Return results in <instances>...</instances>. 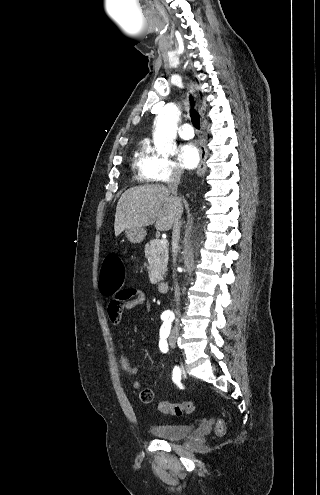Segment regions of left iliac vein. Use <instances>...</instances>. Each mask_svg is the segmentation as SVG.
I'll list each match as a JSON object with an SVG mask.
<instances>
[{"mask_svg": "<svg viewBox=\"0 0 320 495\" xmlns=\"http://www.w3.org/2000/svg\"><path fill=\"white\" fill-rule=\"evenodd\" d=\"M169 344L172 348H175L176 346V335L173 333L171 334L170 338H169Z\"/></svg>", "mask_w": 320, "mask_h": 495, "instance_id": "1", "label": "left iliac vein"}]
</instances>
